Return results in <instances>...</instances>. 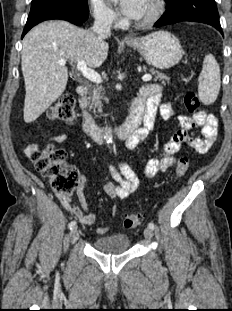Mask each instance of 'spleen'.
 I'll return each mask as SVG.
<instances>
[{"instance_id": "1", "label": "spleen", "mask_w": 232, "mask_h": 311, "mask_svg": "<svg viewBox=\"0 0 232 311\" xmlns=\"http://www.w3.org/2000/svg\"><path fill=\"white\" fill-rule=\"evenodd\" d=\"M220 67L212 54L203 60V68L199 75L198 95L205 105L214 103L220 91Z\"/></svg>"}]
</instances>
